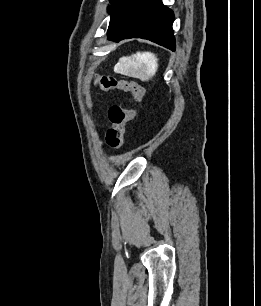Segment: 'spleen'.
<instances>
[{
    "mask_svg": "<svg viewBox=\"0 0 261 306\" xmlns=\"http://www.w3.org/2000/svg\"><path fill=\"white\" fill-rule=\"evenodd\" d=\"M157 68L158 59L155 54L137 52L131 56L120 58L114 70L128 77L148 81L155 75Z\"/></svg>",
    "mask_w": 261,
    "mask_h": 306,
    "instance_id": "3e777b00",
    "label": "spleen"
}]
</instances>
